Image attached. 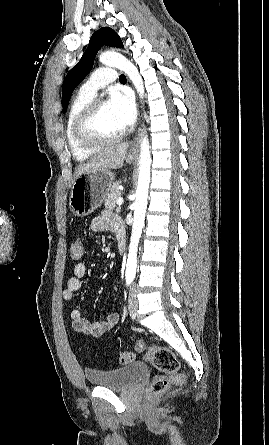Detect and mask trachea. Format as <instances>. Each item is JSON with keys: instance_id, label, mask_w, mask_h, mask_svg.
Wrapping results in <instances>:
<instances>
[{"instance_id": "3493384b", "label": "trachea", "mask_w": 269, "mask_h": 445, "mask_svg": "<svg viewBox=\"0 0 269 445\" xmlns=\"http://www.w3.org/2000/svg\"><path fill=\"white\" fill-rule=\"evenodd\" d=\"M119 80L122 81H126V76L124 74L120 75Z\"/></svg>"}]
</instances>
